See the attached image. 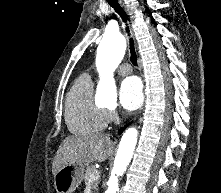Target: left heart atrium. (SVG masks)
I'll return each mask as SVG.
<instances>
[{
  "label": "left heart atrium",
  "instance_id": "left-heart-atrium-1",
  "mask_svg": "<svg viewBox=\"0 0 221 193\" xmlns=\"http://www.w3.org/2000/svg\"><path fill=\"white\" fill-rule=\"evenodd\" d=\"M143 98V86L137 77H128L122 82L119 100L125 110L138 109L143 103Z\"/></svg>",
  "mask_w": 221,
  "mask_h": 193
}]
</instances>
